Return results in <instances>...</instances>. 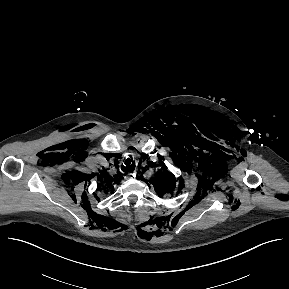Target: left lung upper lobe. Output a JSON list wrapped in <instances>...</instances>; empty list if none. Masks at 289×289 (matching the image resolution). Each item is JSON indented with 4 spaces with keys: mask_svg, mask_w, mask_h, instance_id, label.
I'll use <instances>...</instances> for the list:
<instances>
[{
    "mask_svg": "<svg viewBox=\"0 0 289 289\" xmlns=\"http://www.w3.org/2000/svg\"><path fill=\"white\" fill-rule=\"evenodd\" d=\"M153 185L160 197L172 195L176 191V179L169 172H166L165 166H163V170H160L154 179Z\"/></svg>",
    "mask_w": 289,
    "mask_h": 289,
    "instance_id": "5c2ea615",
    "label": "left lung upper lobe"
}]
</instances>
